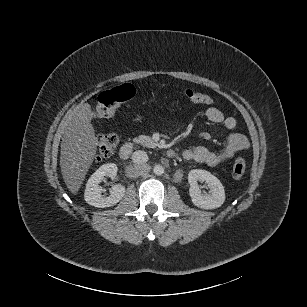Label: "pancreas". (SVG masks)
<instances>
[{
  "label": "pancreas",
  "mask_w": 307,
  "mask_h": 307,
  "mask_svg": "<svg viewBox=\"0 0 307 307\" xmlns=\"http://www.w3.org/2000/svg\"><path fill=\"white\" fill-rule=\"evenodd\" d=\"M133 142L139 143L142 146L155 147V143L148 135H139L137 138L133 139Z\"/></svg>",
  "instance_id": "cf45deb5"
}]
</instances>
